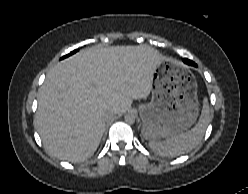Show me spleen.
<instances>
[{
  "label": "spleen",
  "instance_id": "3e777b00",
  "mask_svg": "<svg viewBox=\"0 0 248 194\" xmlns=\"http://www.w3.org/2000/svg\"><path fill=\"white\" fill-rule=\"evenodd\" d=\"M209 105L205 98L198 123L191 130L175 135L165 141L150 140L149 147L162 156L175 157L195 148L202 140L209 123Z\"/></svg>",
  "mask_w": 248,
  "mask_h": 194
}]
</instances>
